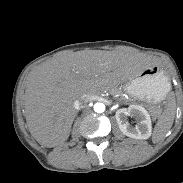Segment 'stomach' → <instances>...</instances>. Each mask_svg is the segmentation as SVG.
Segmentation results:
<instances>
[{
	"mask_svg": "<svg viewBox=\"0 0 183 183\" xmlns=\"http://www.w3.org/2000/svg\"><path fill=\"white\" fill-rule=\"evenodd\" d=\"M123 83V89L131 96L150 103L165 99L169 89V79L158 67H146L131 74Z\"/></svg>",
	"mask_w": 183,
	"mask_h": 183,
	"instance_id": "1",
	"label": "stomach"
}]
</instances>
